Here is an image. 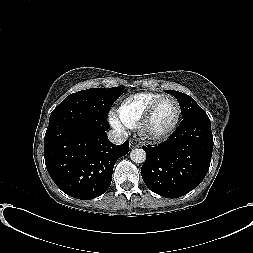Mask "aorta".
I'll return each instance as SVG.
<instances>
[{"label": "aorta", "mask_w": 253, "mask_h": 253, "mask_svg": "<svg viewBox=\"0 0 253 253\" xmlns=\"http://www.w3.org/2000/svg\"><path fill=\"white\" fill-rule=\"evenodd\" d=\"M130 159L134 163H143L146 160V153L143 149H133L130 152Z\"/></svg>", "instance_id": "1"}]
</instances>
